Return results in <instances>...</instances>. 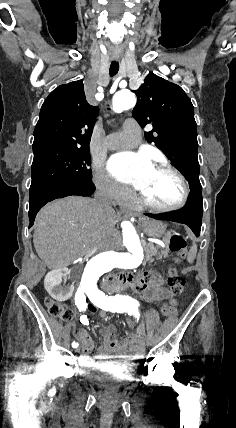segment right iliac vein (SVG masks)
Returning a JSON list of instances; mask_svg holds the SVG:
<instances>
[{"label": "right iliac vein", "mask_w": 236, "mask_h": 428, "mask_svg": "<svg viewBox=\"0 0 236 428\" xmlns=\"http://www.w3.org/2000/svg\"><path fill=\"white\" fill-rule=\"evenodd\" d=\"M82 344V341H79V346H77V349L74 351L76 354L81 350L80 345Z\"/></svg>", "instance_id": "63e3f726"}]
</instances>
